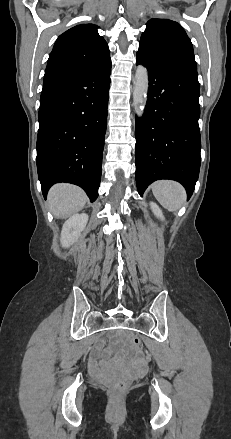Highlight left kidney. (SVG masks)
<instances>
[{
    "instance_id": "obj_1",
    "label": "left kidney",
    "mask_w": 231,
    "mask_h": 439,
    "mask_svg": "<svg viewBox=\"0 0 231 439\" xmlns=\"http://www.w3.org/2000/svg\"><path fill=\"white\" fill-rule=\"evenodd\" d=\"M151 208L157 217L163 219L162 211L155 203H151Z\"/></svg>"
}]
</instances>
